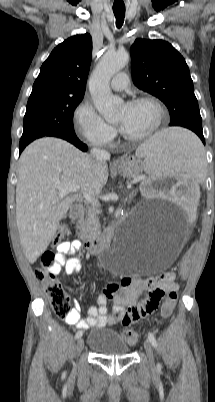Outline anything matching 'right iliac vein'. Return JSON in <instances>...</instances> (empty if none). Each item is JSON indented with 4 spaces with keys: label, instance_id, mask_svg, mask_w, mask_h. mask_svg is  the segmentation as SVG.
<instances>
[{
    "label": "right iliac vein",
    "instance_id": "1",
    "mask_svg": "<svg viewBox=\"0 0 215 402\" xmlns=\"http://www.w3.org/2000/svg\"><path fill=\"white\" fill-rule=\"evenodd\" d=\"M83 347H84V341L80 337L78 339V341H77V344H76V353H77V355H79L81 353V351L83 350Z\"/></svg>",
    "mask_w": 215,
    "mask_h": 402
}]
</instances>
